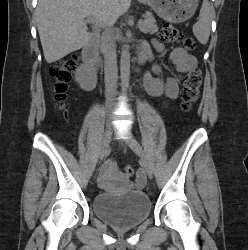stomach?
<instances>
[{"label":"stomach","instance_id":"obj_1","mask_svg":"<svg viewBox=\"0 0 248 250\" xmlns=\"http://www.w3.org/2000/svg\"><path fill=\"white\" fill-rule=\"evenodd\" d=\"M149 5L158 16L172 23L188 20L198 7V0H140Z\"/></svg>","mask_w":248,"mask_h":250}]
</instances>
